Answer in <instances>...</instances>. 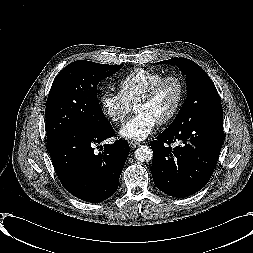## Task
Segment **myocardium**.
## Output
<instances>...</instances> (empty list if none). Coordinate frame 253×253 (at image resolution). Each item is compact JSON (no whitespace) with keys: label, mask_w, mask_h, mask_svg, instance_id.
Masks as SVG:
<instances>
[{"label":"myocardium","mask_w":253,"mask_h":253,"mask_svg":"<svg viewBox=\"0 0 253 253\" xmlns=\"http://www.w3.org/2000/svg\"><path fill=\"white\" fill-rule=\"evenodd\" d=\"M168 81H175L178 84L179 97L175 107L172 109L170 113H168L164 118H162L158 122L159 125H165L170 123L177 116V114L179 113L184 104L186 98V86L182 77L176 74L164 75L162 78L153 83L135 103V106H137L138 104L149 102L156 95L160 87Z\"/></svg>","instance_id":"1"}]
</instances>
